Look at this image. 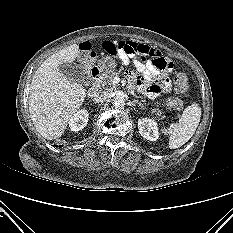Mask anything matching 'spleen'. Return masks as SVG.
Segmentation results:
<instances>
[{
    "mask_svg": "<svg viewBox=\"0 0 233 233\" xmlns=\"http://www.w3.org/2000/svg\"><path fill=\"white\" fill-rule=\"evenodd\" d=\"M201 118V108L193 103L185 108L179 123H172L164 134H169V148L176 149L184 145L195 133Z\"/></svg>",
    "mask_w": 233,
    "mask_h": 233,
    "instance_id": "3e777b00",
    "label": "spleen"
}]
</instances>
